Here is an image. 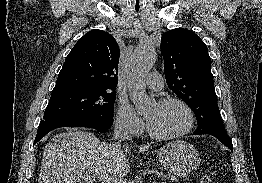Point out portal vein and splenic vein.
Wrapping results in <instances>:
<instances>
[{
	"label": "portal vein and splenic vein",
	"mask_w": 262,
	"mask_h": 183,
	"mask_svg": "<svg viewBox=\"0 0 262 183\" xmlns=\"http://www.w3.org/2000/svg\"><path fill=\"white\" fill-rule=\"evenodd\" d=\"M97 178L102 180L104 183H133L123 178L109 176L108 174L105 173L97 175Z\"/></svg>",
	"instance_id": "obj_1"
}]
</instances>
